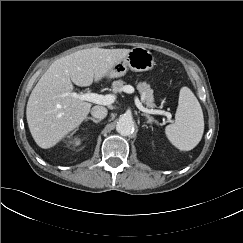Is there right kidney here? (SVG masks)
Segmentation results:
<instances>
[{
    "label": "right kidney",
    "instance_id": "obj_1",
    "mask_svg": "<svg viewBox=\"0 0 243 243\" xmlns=\"http://www.w3.org/2000/svg\"><path fill=\"white\" fill-rule=\"evenodd\" d=\"M69 143L73 144V145H79L80 144V139L79 138H75L74 140L70 141Z\"/></svg>",
    "mask_w": 243,
    "mask_h": 243
}]
</instances>
